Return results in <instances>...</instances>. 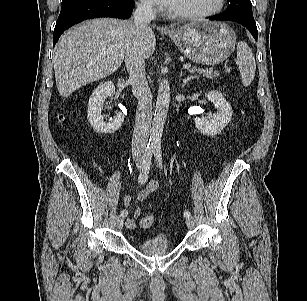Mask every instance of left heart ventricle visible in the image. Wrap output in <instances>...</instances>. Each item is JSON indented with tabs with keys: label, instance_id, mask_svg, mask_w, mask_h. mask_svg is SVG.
<instances>
[{
	"label": "left heart ventricle",
	"instance_id": "1",
	"mask_svg": "<svg viewBox=\"0 0 307 301\" xmlns=\"http://www.w3.org/2000/svg\"><path fill=\"white\" fill-rule=\"evenodd\" d=\"M217 0H175L171 11L180 13H191L205 11L213 8Z\"/></svg>",
	"mask_w": 307,
	"mask_h": 301
}]
</instances>
